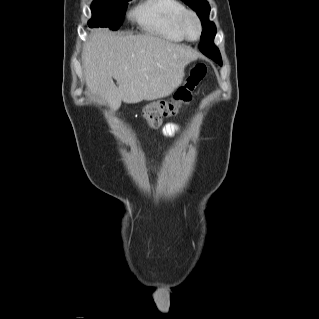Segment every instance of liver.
<instances>
[{
  "label": "liver",
  "instance_id": "6515ba94",
  "mask_svg": "<svg viewBox=\"0 0 319 319\" xmlns=\"http://www.w3.org/2000/svg\"><path fill=\"white\" fill-rule=\"evenodd\" d=\"M198 53L153 35H122L96 29L82 53L86 86L114 111L169 96ZM116 80L117 86L113 82Z\"/></svg>",
  "mask_w": 319,
  "mask_h": 319
}]
</instances>
